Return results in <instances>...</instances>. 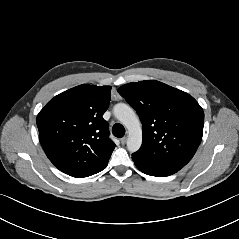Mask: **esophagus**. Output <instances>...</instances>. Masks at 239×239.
<instances>
[{"instance_id":"esophagus-1","label":"esophagus","mask_w":239,"mask_h":239,"mask_svg":"<svg viewBox=\"0 0 239 239\" xmlns=\"http://www.w3.org/2000/svg\"><path fill=\"white\" fill-rule=\"evenodd\" d=\"M120 142H121L122 145L126 144V142H127V137L121 138Z\"/></svg>"}]
</instances>
